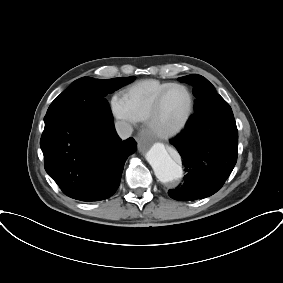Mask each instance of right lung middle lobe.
I'll list each match as a JSON object with an SVG mask.
<instances>
[{
  "instance_id": "dd1d6c3e",
  "label": "right lung middle lobe",
  "mask_w": 283,
  "mask_h": 283,
  "mask_svg": "<svg viewBox=\"0 0 283 283\" xmlns=\"http://www.w3.org/2000/svg\"><path fill=\"white\" fill-rule=\"evenodd\" d=\"M132 80H134L133 76L106 80L91 77L80 78L51 103L44 120L62 115L83 116L97 110L111 114L104 97Z\"/></svg>"
}]
</instances>
